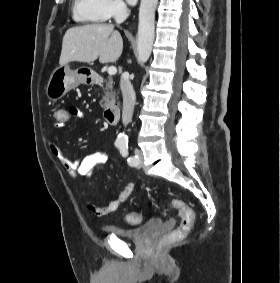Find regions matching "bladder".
<instances>
[{"mask_svg":"<svg viewBox=\"0 0 280 283\" xmlns=\"http://www.w3.org/2000/svg\"><path fill=\"white\" fill-rule=\"evenodd\" d=\"M164 225V220L152 218L144 224L135 227H125L120 225H107L103 231L109 235H115L134 242H141L148 236L160 230Z\"/></svg>","mask_w":280,"mask_h":283,"instance_id":"1","label":"bladder"}]
</instances>
